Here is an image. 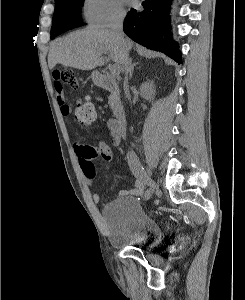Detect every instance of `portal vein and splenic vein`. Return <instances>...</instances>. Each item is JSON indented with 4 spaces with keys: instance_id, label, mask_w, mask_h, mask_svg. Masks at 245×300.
Listing matches in <instances>:
<instances>
[{
    "instance_id": "obj_1",
    "label": "portal vein and splenic vein",
    "mask_w": 245,
    "mask_h": 300,
    "mask_svg": "<svg viewBox=\"0 0 245 300\" xmlns=\"http://www.w3.org/2000/svg\"><path fill=\"white\" fill-rule=\"evenodd\" d=\"M120 66L119 65H113L111 68H110V72L113 74V75H116V74H119L120 73Z\"/></svg>"
}]
</instances>
